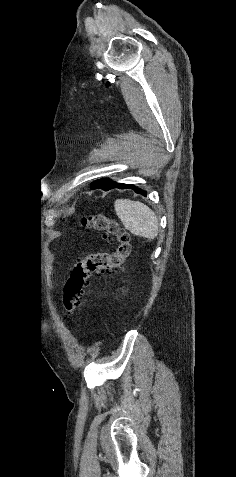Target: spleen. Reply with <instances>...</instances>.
<instances>
[{"instance_id": "3e777b00", "label": "spleen", "mask_w": 236, "mask_h": 477, "mask_svg": "<svg viewBox=\"0 0 236 477\" xmlns=\"http://www.w3.org/2000/svg\"><path fill=\"white\" fill-rule=\"evenodd\" d=\"M114 207L124 227L133 235L147 239L157 237L159 222L148 206L139 201L117 199Z\"/></svg>"}]
</instances>
